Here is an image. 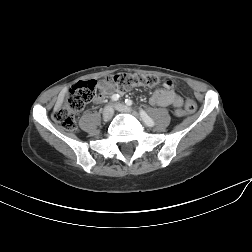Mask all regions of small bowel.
Masks as SVG:
<instances>
[{"mask_svg":"<svg viewBox=\"0 0 252 252\" xmlns=\"http://www.w3.org/2000/svg\"><path fill=\"white\" fill-rule=\"evenodd\" d=\"M98 88L100 94L95 98L96 103H101L104 99L110 95L118 94L119 91H115L113 88L107 86L104 80L99 81ZM150 103L158 107H176L180 108L183 104L182 99L174 92V86L164 84V89L156 90L150 97Z\"/></svg>","mask_w":252,"mask_h":252,"instance_id":"1","label":"small bowel"}]
</instances>
